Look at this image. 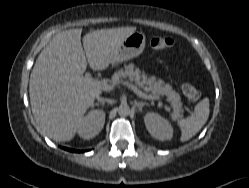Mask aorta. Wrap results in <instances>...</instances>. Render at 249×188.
<instances>
[{
    "label": "aorta",
    "instance_id": "obj_1",
    "mask_svg": "<svg viewBox=\"0 0 249 188\" xmlns=\"http://www.w3.org/2000/svg\"><path fill=\"white\" fill-rule=\"evenodd\" d=\"M130 113V107L127 104H121L118 108V114L120 116H128Z\"/></svg>",
    "mask_w": 249,
    "mask_h": 188
}]
</instances>
